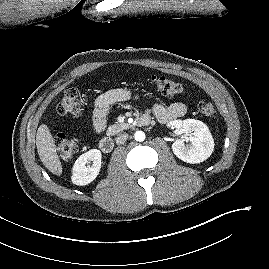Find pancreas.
I'll return each mask as SVG.
<instances>
[{
    "mask_svg": "<svg viewBox=\"0 0 269 269\" xmlns=\"http://www.w3.org/2000/svg\"><path fill=\"white\" fill-rule=\"evenodd\" d=\"M128 127H129V124H126V123L119 124V123H117V124L109 126L106 133H107V135L112 136V135H115V134L127 129Z\"/></svg>",
    "mask_w": 269,
    "mask_h": 269,
    "instance_id": "1",
    "label": "pancreas"
}]
</instances>
